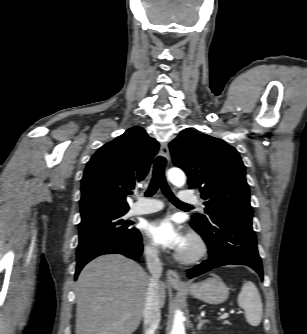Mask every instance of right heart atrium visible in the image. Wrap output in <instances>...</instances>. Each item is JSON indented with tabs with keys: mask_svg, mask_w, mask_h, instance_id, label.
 Here are the masks:
<instances>
[{
	"mask_svg": "<svg viewBox=\"0 0 307 334\" xmlns=\"http://www.w3.org/2000/svg\"><path fill=\"white\" fill-rule=\"evenodd\" d=\"M144 253L147 257L153 258L156 257L158 254L157 248L151 243L144 244Z\"/></svg>",
	"mask_w": 307,
	"mask_h": 334,
	"instance_id": "right-heart-atrium-1",
	"label": "right heart atrium"
}]
</instances>
